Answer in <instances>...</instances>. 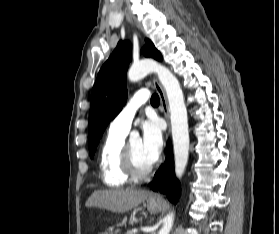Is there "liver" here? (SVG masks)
<instances>
[{"label": "liver", "instance_id": "liver-1", "mask_svg": "<svg viewBox=\"0 0 279 234\" xmlns=\"http://www.w3.org/2000/svg\"><path fill=\"white\" fill-rule=\"evenodd\" d=\"M148 195V191L134 189L95 191L88 198L85 206L98 207L114 213H125L144 202Z\"/></svg>", "mask_w": 279, "mask_h": 234}]
</instances>
